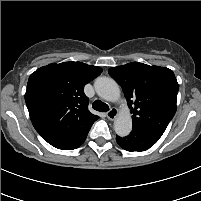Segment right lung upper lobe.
<instances>
[{
  "mask_svg": "<svg viewBox=\"0 0 201 201\" xmlns=\"http://www.w3.org/2000/svg\"><path fill=\"white\" fill-rule=\"evenodd\" d=\"M102 69L82 62L52 63L33 72L25 101L36 131L45 139H64L90 130L98 116L88 110L84 86Z\"/></svg>",
  "mask_w": 201,
  "mask_h": 201,
  "instance_id": "right-lung-upper-lobe-1",
  "label": "right lung upper lobe"
}]
</instances>
